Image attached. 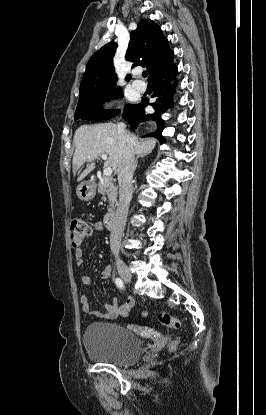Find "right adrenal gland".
I'll use <instances>...</instances> for the list:
<instances>
[{
  "label": "right adrenal gland",
  "instance_id": "1",
  "mask_svg": "<svg viewBox=\"0 0 266 415\" xmlns=\"http://www.w3.org/2000/svg\"><path fill=\"white\" fill-rule=\"evenodd\" d=\"M145 156H147V154H144V155H139V156H137L136 157V159H135V163H134V170H136V168H137V165H138V159L141 157V158H144Z\"/></svg>",
  "mask_w": 266,
  "mask_h": 415
}]
</instances>
